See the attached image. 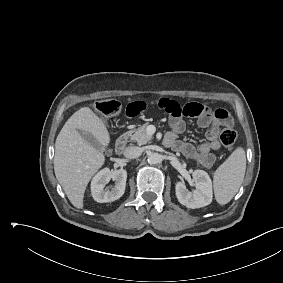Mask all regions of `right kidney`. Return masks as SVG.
<instances>
[{
    "label": "right kidney",
    "instance_id": "ca27d5eb",
    "mask_svg": "<svg viewBox=\"0 0 283 283\" xmlns=\"http://www.w3.org/2000/svg\"><path fill=\"white\" fill-rule=\"evenodd\" d=\"M115 181L113 187L104 189L110 180ZM127 172L123 169L110 171L104 168L99 171L91 181V194L99 203L113 202L119 199L125 191Z\"/></svg>",
    "mask_w": 283,
    "mask_h": 283
}]
</instances>
